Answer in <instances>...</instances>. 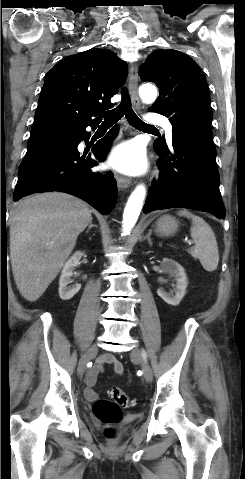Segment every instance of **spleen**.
Returning <instances> with one entry per match:
<instances>
[{"instance_id": "spleen-1", "label": "spleen", "mask_w": 245, "mask_h": 479, "mask_svg": "<svg viewBox=\"0 0 245 479\" xmlns=\"http://www.w3.org/2000/svg\"><path fill=\"white\" fill-rule=\"evenodd\" d=\"M178 215L192 220L191 237L195 246L190 248L188 252L193 258L200 260L206 271L216 270L219 263V252L216 237L210 225L203 218L192 214L188 210H180Z\"/></svg>"}]
</instances>
